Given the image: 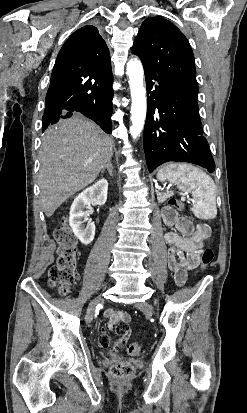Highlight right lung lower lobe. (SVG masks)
I'll return each mask as SVG.
<instances>
[{"mask_svg": "<svg viewBox=\"0 0 247 413\" xmlns=\"http://www.w3.org/2000/svg\"><path fill=\"white\" fill-rule=\"evenodd\" d=\"M112 82L111 69L96 73L53 70L46 95L42 131L50 124L78 112L111 134Z\"/></svg>", "mask_w": 247, "mask_h": 413, "instance_id": "right-lung-lower-lobe-1", "label": "right lung lower lobe"}]
</instances>
